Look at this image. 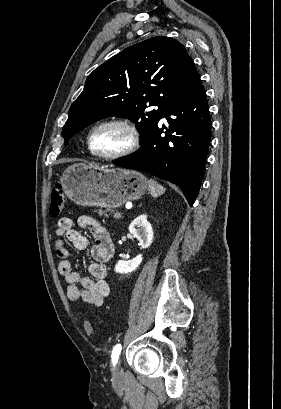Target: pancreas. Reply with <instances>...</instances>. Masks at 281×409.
<instances>
[{"label": "pancreas", "mask_w": 281, "mask_h": 409, "mask_svg": "<svg viewBox=\"0 0 281 409\" xmlns=\"http://www.w3.org/2000/svg\"><path fill=\"white\" fill-rule=\"evenodd\" d=\"M109 209H107V211H101L102 215H104V217H108V215H106V213H108Z\"/></svg>", "instance_id": "1"}]
</instances>
